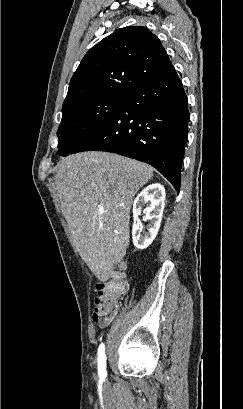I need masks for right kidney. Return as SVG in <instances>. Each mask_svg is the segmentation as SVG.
<instances>
[{
    "instance_id": "obj_1",
    "label": "right kidney",
    "mask_w": 243,
    "mask_h": 409,
    "mask_svg": "<svg viewBox=\"0 0 243 409\" xmlns=\"http://www.w3.org/2000/svg\"><path fill=\"white\" fill-rule=\"evenodd\" d=\"M165 189L161 184L154 183L142 190L134 200L132 227V239L136 248L146 249L155 239L160 228L162 214L164 210ZM145 212V221H149L148 231L142 235L138 216L143 207Z\"/></svg>"
}]
</instances>
